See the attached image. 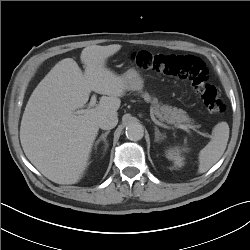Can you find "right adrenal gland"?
I'll use <instances>...</instances> for the list:
<instances>
[{"mask_svg": "<svg viewBox=\"0 0 250 250\" xmlns=\"http://www.w3.org/2000/svg\"><path fill=\"white\" fill-rule=\"evenodd\" d=\"M110 133V131H107L105 133H103L100 138L96 141L95 146H97L99 144V142L103 141L105 143V151L107 150L108 147V143L106 141V137L107 135Z\"/></svg>", "mask_w": 250, "mask_h": 250, "instance_id": "2a0ac1e0", "label": "right adrenal gland"}]
</instances>
